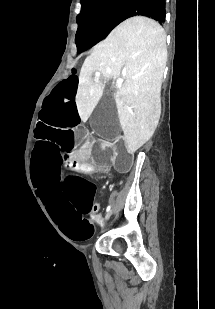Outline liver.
Returning <instances> with one entry per match:
<instances>
[{
	"instance_id": "6515ba94",
	"label": "liver",
	"mask_w": 215,
	"mask_h": 309,
	"mask_svg": "<svg viewBox=\"0 0 215 309\" xmlns=\"http://www.w3.org/2000/svg\"><path fill=\"white\" fill-rule=\"evenodd\" d=\"M167 60L166 34L159 22L147 16H131L95 44L79 74L75 96L81 120H88L98 104L105 84L93 78H124L115 92V102L127 152L151 138L160 118L156 108Z\"/></svg>"
}]
</instances>
